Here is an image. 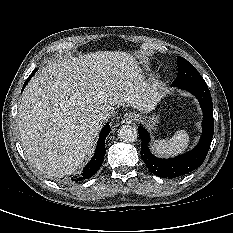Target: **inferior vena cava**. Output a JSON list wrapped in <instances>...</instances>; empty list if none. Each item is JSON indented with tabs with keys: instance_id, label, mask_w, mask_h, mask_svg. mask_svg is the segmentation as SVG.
<instances>
[{
	"instance_id": "602c4592",
	"label": "inferior vena cava",
	"mask_w": 233,
	"mask_h": 233,
	"mask_svg": "<svg viewBox=\"0 0 233 233\" xmlns=\"http://www.w3.org/2000/svg\"><path fill=\"white\" fill-rule=\"evenodd\" d=\"M109 117H110V114L108 112H100L95 116L97 121L100 122V123L107 120Z\"/></svg>"
}]
</instances>
